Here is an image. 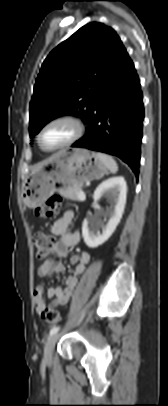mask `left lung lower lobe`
Returning a JSON list of instances; mask_svg holds the SVG:
<instances>
[{"mask_svg":"<svg viewBox=\"0 0 168 406\" xmlns=\"http://www.w3.org/2000/svg\"><path fill=\"white\" fill-rule=\"evenodd\" d=\"M139 78L126 49L104 82L84 137L72 147L119 157L139 175L144 108Z\"/></svg>","mask_w":168,"mask_h":406,"instance_id":"obj_1","label":"left lung lower lobe"}]
</instances>
